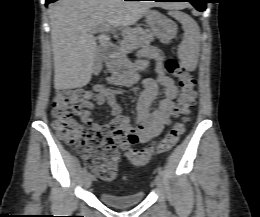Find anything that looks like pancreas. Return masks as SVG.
Returning a JSON list of instances; mask_svg holds the SVG:
<instances>
[{
  "label": "pancreas",
  "mask_w": 260,
  "mask_h": 217,
  "mask_svg": "<svg viewBox=\"0 0 260 217\" xmlns=\"http://www.w3.org/2000/svg\"><path fill=\"white\" fill-rule=\"evenodd\" d=\"M152 41L153 35L148 30L140 27L129 29L121 42V49L129 52L138 47L149 45Z\"/></svg>",
  "instance_id": "pancreas-1"
}]
</instances>
